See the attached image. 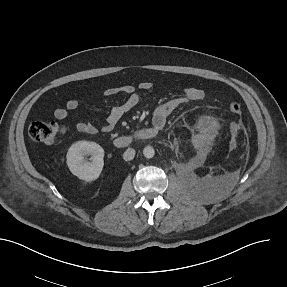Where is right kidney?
I'll list each match as a JSON object with an SVG mask.
<instances>
[{
	"instance_id": "obj_1",
	"label": "right kidney",
	"mask_w": 287,
	"mask_h": 287,
	"mask_svg": "<svg viewBox=\"0 0 287 287\" xmlns=\"http://www.w3.org/2000/svg\"><path fill=\"white\" fill-rule=\"evenodd\" d=\"M91 155V162L84 160V156ZM104 150L95 143L78 141L71 145L66 158L67 165L73 175L86 182L96 180L104 166Z\"/></svg>"
}]
</instances>
